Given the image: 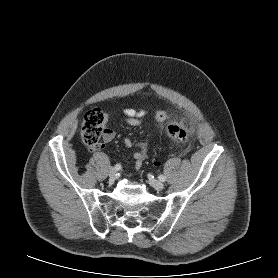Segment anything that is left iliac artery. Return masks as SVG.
I'll use <instances>...</instances> for the list:
<instances>
[{
  "label": "left iliac artery",
  "mask_w": 278,
  "mask_h": 278,
  "mask_svg": "<svg viewBox=\"0 0 278 278\" xmlns=\"http://www.w3.org/2000/svg\"><path fill=\"white\" fill-rule=\"evenodd\" d=\"M161 181H165L166 180V177L164 175H159L158 177Z\"/></svg>",
  "instance_id": "obj_1"
}]
</instances>
